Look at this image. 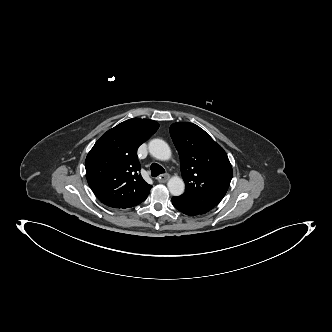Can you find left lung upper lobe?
<instances>
[{
	"mask_svg": "<svg viewBox=\"0 0 332 332\" xmlns=\"http://www.w3.org/2000/svg\"><path fill=\"white\" fill-rule=\"evenodd\" d=\"M180 156L185 192L178 196L206 211L226 194L233 171L226 152L203 129L188 122L170 126Z\"/></svg>",
	"mask_w": 332,
	"mask_h": 332,
	"instance_id": "5c2ea615",
	"label": "left lung upper lobe"
}]
</instances>
